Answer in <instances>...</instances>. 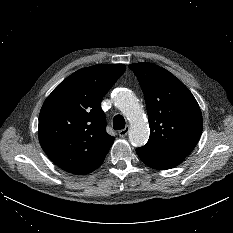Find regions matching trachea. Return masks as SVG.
Instances as JSON below:
<instances>
[{"label":"trachea","instance_id":"trachea-1","mask_svg":"<svg viewBox=\"0 0 233 233\" xmlns=\"http://www.w3.org/2000/svg\"><path fill=\"white\" fill-rule=\"evenodd\" d=\"M113 128L115 130H121L125 128V119L121 115H116L113 119Z\"/></svg>","mask_w":233,"mask_h":233}]
</instances>
